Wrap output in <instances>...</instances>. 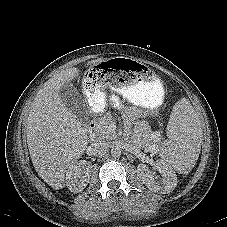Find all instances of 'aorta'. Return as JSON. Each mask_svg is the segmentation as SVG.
Returning a JSON list of instances; mask_svg holds the SVG:
<instances>
[{
	"instance_id": "1",
	"label": "aorta",
	"mask_w": 227,
	"mask_h": 227,
	"mask_svg": "<svg viewBox=\"0 0 227 227\" xmlns=\"http://www.w3.org/2000/svg\"><path fill=\"white\" fill-rule=\"evenodd\" d=\"M111 155L115 158H118L121 155V149L117 146L112 147Z\"/></svg>"
}]
</instances>
